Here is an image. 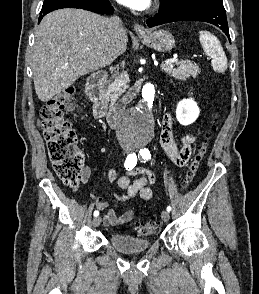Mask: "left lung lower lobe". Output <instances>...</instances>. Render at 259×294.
I'll use <instances>...</instances> for the list:
<instances>
[{
    "instance_id": "0a47b994",
    "label": "left lung lower lobe",
    "mask_w": 259,
    "mask_h": 294,
    "mask_svg": "<svg viewBox=\"0 0 259 294\" xmlns=\"http://www.w3.org/2000/svg\"><path fill=\"white\" fill-rule=\"evenodd\" d=\"M184 20L211 23L222 29L230 40L226 11L222 1L219 0H196L169 11L159 12L147 20V25L148 27H154L164 23Z\"/></svg>"
}]
</instances>
